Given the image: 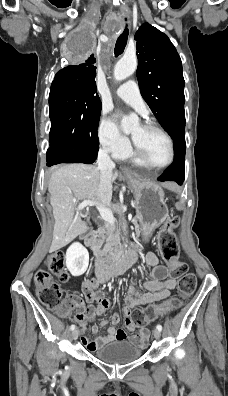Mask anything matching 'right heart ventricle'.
<instances>
[{"label": "right heart ventricle", "instance_id": "e07e8e85", "mask_svg": "<svg viewBox=\"0 0 228 396\" xmlns=\"http://www.w3.org/2000/svg\"><path fill=\"white\" fill-rule=\"evenodd\" d=\"M127 156H128V154H127L125 157H127ZM125 157H124V158H125ZM134 161H135L136 163H139L136 159H134Z\"/></svg>", "mask_w": 228, "mask_h": 396}]
</instances>
